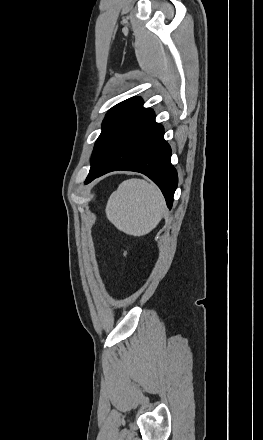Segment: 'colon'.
Segmentation results:
<instances>
[{"mask_svg":"<svg viewBox=\"0 0 263 440\" xmlns=\"http://www.w3.org/2000/svg\"><path fill=\"white\" fill-rule=\"evenodd\" d=\"M124 256L127 257V252L126 251H124Z\"/></svg>","mask_w":263,"mask_h":440,"instance_id":"obj_1","label":"colon"}]
</instances>
